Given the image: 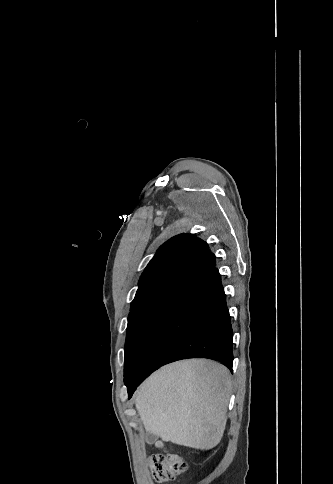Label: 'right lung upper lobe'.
I'll use <instances>...</instances> for the list:
<instances>
[{
  "instance_id": "right-lung-upper-lobe-1",
  "label": "right lung upper lobe",
  "mask_w": 333,
  "mask_h": 484,
  "mask_svg": "<svg viewBox=\"0 0 333 484\" xmlns=\"http://www.w3.org/2000/svg\"><path fill=\"white\" fill-rule=\"evenodd\" d=\"M215 265L208 244L194 234H180L160 246L139 280L131 309L167 296Z\"/></svg>"
}]
</instances>
